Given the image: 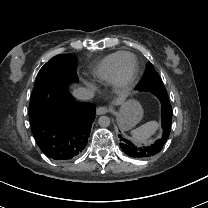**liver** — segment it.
Segmentation results:
<instances>
[{
	"label": "liver",
	"instance_id": "6515ba94",
	"mask_svg": "<svg viewBox=\"0 0 208 208\" xmlns=\"http://www.w3.org/2000/svg\"><path fill=\"white\" fill-rule=\"evenodd\" d=\"M122 102V99H120L116 104H120Z\"/></svg>",
	"mask_w": 208,
	"mask_h": 208
}]
</instances>
